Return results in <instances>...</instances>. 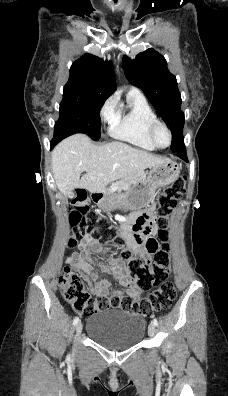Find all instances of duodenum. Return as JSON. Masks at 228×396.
Listing matches in <instances>:
<instances>
[{"label": "duodenum", "instance_id": "duodenum-1", "mask_svg": "<svg viewBox=\"0 0 228 396\" xmlns=\"http://www.w3.org/2000/svg\"><path fill=\"white\" fill-rule=\"evenodd\" d=\"M97 196H99V197H100L101 195H100V194H97Z\"/></svg>", "mask_w": 228, "mask_h": 396}]
</instances>
